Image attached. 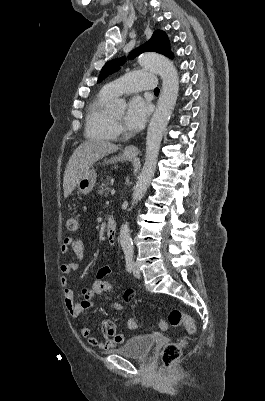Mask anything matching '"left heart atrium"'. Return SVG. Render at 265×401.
I'll return each mask as SVG.
<instances>
[{"label":"left heart atrium","mask_w":265,"mask_h":401,"mask_svg":"<svg viewBox=\"0 0 265 401\" xmlns=\"http://www.w3.org/2000/svg\"><path fill=\"white\" fill-rule=\"evenodd\" d=\"M149 113V106L142 98H131L126 111L127 126L132 130L141 129L145 125Z\"/></svg>","instance_id":"left-heart-atrium-1"}]
</instances>
